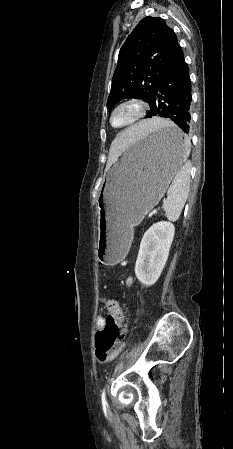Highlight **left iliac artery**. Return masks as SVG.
I'll return each mask as SVG.
<instances>
[{"instance_id": "obj_1", "label": "left iliac artery", "mask_w": 233, "mask_h": 449, "mask_svg": "<svg viewBox=\"0 0 233 449\" xmlns=\"http://www.w3.org/2000/svg\"><path fill=\"white\" fill-rule=\"evenodd\" d=\"M101 401H102V406H103V407H106L107 402H106L105 388H104L103 391H102Z\"/></svg>"}]
</instances>
